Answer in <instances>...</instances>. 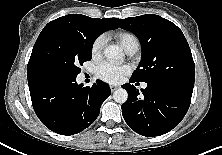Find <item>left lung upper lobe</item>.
<instances>
[{
  "label": "left lung upper lobe",
  "mask_w": 222,
  "mask_h": 155,
  "mask_svg": "<svg viewBox=\"0 0 222 155\" xmlns=\"http://www.w3.org/2000/svg\"><path fill=\"white\" fill-rule=\"evenodd\" d=\"M120 28L134 33L142 47L141 61L131 78L146 83H168L193 90L195 65L182 31L171 21L146 14L117 19Z\"/></svg>",
  "instance_id": "5c2ea615"
}]
</instances>
